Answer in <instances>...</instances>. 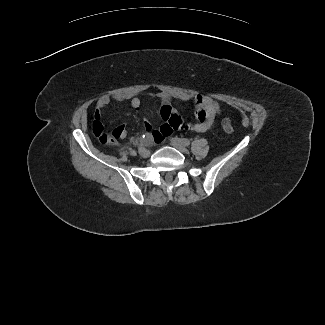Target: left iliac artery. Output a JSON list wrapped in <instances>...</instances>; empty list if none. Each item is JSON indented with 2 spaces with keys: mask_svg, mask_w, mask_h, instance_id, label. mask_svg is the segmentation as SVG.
<instances>
[{
  "mask_svg": "<svg viewBox=\"0 0 325 325\" xmlns=\"http://www.w3.org/2000/svg\"><path fill=\"white\" fill-rule=\"evenodd\" d=\"M176 141H178L179 143L183 144L184 146H189L190 145V141L186 138H174Z\"/></svg>",
  "mask_w": 325,
  "mask_h": 325,
  "instance_id": "left-iliac-artery-1",
  "label": "left iliac artery"
}]
</instances>
